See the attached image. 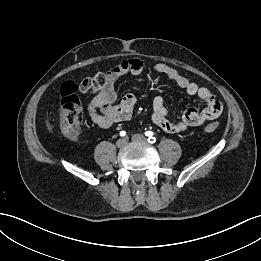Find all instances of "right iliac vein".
<instances>
[{"mask_svg":"<svg viewBox=\"0 0 261 261\" xmlns=\"http://www.w3.org/2000/svg\"><path fill=\"white\" fill-rule=\"evenodd\" d=\"M126 143H127V140L125 138H121V139L117 140L116 146L118 148H123L126 145Z\"/></svg>","mask_w":261,"mask_h":261,"instance_id":"obj_1","label":"right iliac vein"}]
</instances>
